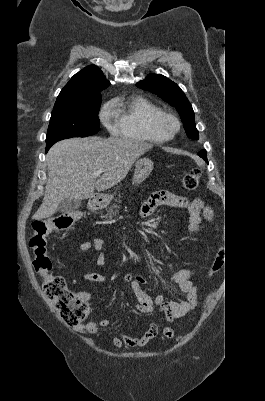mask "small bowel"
I'll list each match as a JSON object with an SVG mask.
<instances>
[{"label":"small bowel","instance_id":"obj_1","mask_svg":"<svg viewBox=\"0 0 265 401\" xmlns=\"http://www.w3.org/2000/svg\"><path fill=\"white\" fill-rule=\"evenodd\" d=\"M162 205L186 209L189 213L188 229L190 233L197 231L202 221H211L213 218L211 207L203 200H190L169 191H158L153 193L142 205L140 215L142 217H149L154 213L157 207ZM104 246L105 242L102 238H94L92 241L82 243L79 246L77 253L80 254L88 250L96 251V265L98 267H103L105 264ZM194 274L195 271L193 269H181L170 277V282L176 286L177 292L180 295H186L187 301L183 302L171 301L162 295H158L155 298L150 297L142 288L145 279L141 275L127 273L124 275V281L131 284L132 292L137 303V309L140 312L149 314L154 311L155 306H159L167 320L172 321L194 309L197 304L198 290L192 281ZM83 279L96 283L107 282V278L99 273H87L83 275ZM79 296L85 300L89 299V295L85 293H82ZM114 317L115 314L110 319L106 318L99 322H89L87 324L79 325L76 327V330L87 334H97L101 329L108 327ZM157 334L158 326L156 324H151L146 332L141 336L131 337L119 333L111 339V343L115 347H121L123 345L130 347H143Z\"/></svg>","mask_w":265,"mask_h":401}]
</instances>
